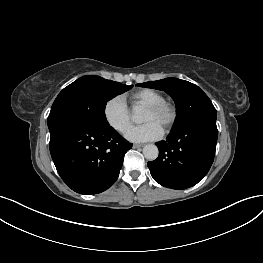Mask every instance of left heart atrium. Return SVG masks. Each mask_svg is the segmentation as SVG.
<instances>
[{"label":"left heart atrium","mask_w":263,"mask_h":263,"mask_svg":"<svg viewBox=\"0 0 263 263\" xmlns=\"http://www.w3.org/2000/svg\"><path fill=\"white\" fill-rule=\"evenodd\" d=\"M163 135L162 126L155 121H148L142 125L130 127L125 137L132 142H146L159 139Z\"/></svg>","instance_id":"obj_1"}]
</instances>
